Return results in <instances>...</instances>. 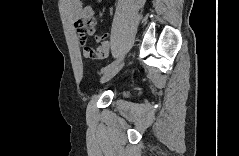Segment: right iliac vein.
<instances>
[{
	"instance_id": "63e3f726",
	"label": "right iliac vein",
	"mask_w": 239,
	"mask_h": 156,
	"mask_svg": "<svg viewBox=\"0 0 239 156\" xmlns=\"http://www.w3.org/2000/svg\"><path fill=\"white\" fill-rule=\"evenodd\" d=\"M123 64H124L123 61H119L117 64L109 68L106 72H104L100 82L105 83L110 79H112L121 70Z\"/></svg>"
}]
</instances>
